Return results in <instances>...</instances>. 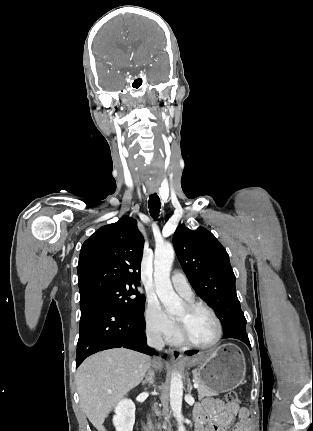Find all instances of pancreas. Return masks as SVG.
<instances>
[{
  "instance_id": "obj_1",
  "label": "pancreas",
  "mask_w": 313,
  "mask_h": 431,
  "mask_svg": "<svg viewBox=\"0 0 313 431\" xmlns=\"http://www.w3.org/2000/svg\"><path fill=\"white\" fill-rule=\"evenodd\" d=\"M193 374H194V380H195V382H197L199 384V387L197 388V391H198V397L200 399H202V398H204L206 396H216V395H218L217 392L210 390L209 388L205 387L201 383V381L199 380L196 372H194Z\"/></svg>"
}]
</instances>
